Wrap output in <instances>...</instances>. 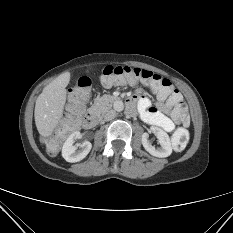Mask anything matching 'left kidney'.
<instances>
[{
	"label": "left kidney",
	"mask_w": 233,
	"mask_h": 233,
	"mask_svg": "<svg viewBox=\"0 0 233 233\" xmlns=\"http://www.w3.org/2000/svg\"><path fill=\"white\" fill-rule=\"evenodd\" d=\"M151 131L157 136L158 142L161 147L155 148L149 142V134L144 133L142 135V145L147 152L151 155L159 158H165L171 155L172 146L168 134L159 127L152 126Z\"/></svg>",
	"instance_id": "5707ae66"
}]
</instances>
